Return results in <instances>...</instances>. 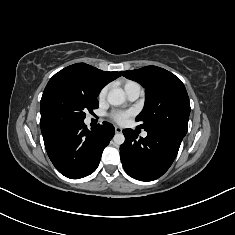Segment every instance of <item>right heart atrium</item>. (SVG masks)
<instances>
[{"mask_svg": "<svg viewBox=\"0 0 235 235\" xmlns=\"http://www.w3.org/2000/svg\"><path fill=\"white\" fill-rule=\"evenodd\" d=\"M107 91H108V87H107V86L103 87V88L100 90V92H99V94H98L99 100H103V99L106 97Z\"/></svg>", "mask_w": 235, "mask_h": 235, "instance_id": "obj_1", "label": "right heart atrium"}]
</instances>
